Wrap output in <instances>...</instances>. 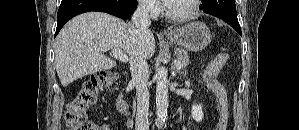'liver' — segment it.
<instances>
[{
  "mask_svg": "<svg viewBox=\"0 0 299 130\" xmlns=\"http://www.w3.org/2000/svg\"><path fill=\"white\" fill-rule=\"evenodd\" d=\"M153 33L103 12H87L70 20L55 40V66L63 87L84 76L108 70L116 62L104 53L121 49L131 58L150 59L155 52Z\"/></svg>",
  "mask_w": 299,
  "mask_h": 130,
  "instance_id": "liver-1",
  "label": "liver"
}]
</instances>
